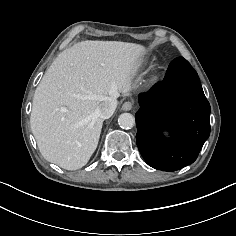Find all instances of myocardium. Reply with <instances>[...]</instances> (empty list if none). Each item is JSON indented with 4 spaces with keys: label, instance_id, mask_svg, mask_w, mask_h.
I'll return each instance as SVG.
<instances>
[{
    "label": "myocardium",
    "instance_id": "1",
    "mask_svg": "<svg viewBox=\"0 0 236 236\" xmlns=\"http://www.w3.org/2000/svg\"><path fill=\"white\" fill-rule=\"evenodd\" d=\"M157 79V77H155L153 80L155 81Z\"/></svg>",
    "mask_w": 236,
    "mask_h": 236
}]
</instances>
